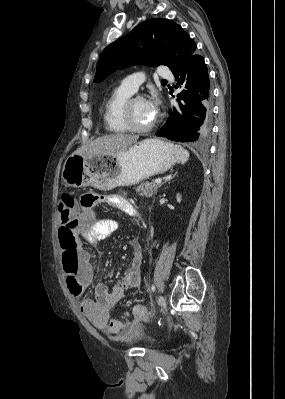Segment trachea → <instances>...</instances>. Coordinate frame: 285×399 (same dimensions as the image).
Wrapping results in <instances>:
<instances>
[{
	"label": "trachea",
	"mask_w": 285,
	"mask_h": 399,
	"mask_svg": "<svg viewBox=\"0 0 285 399\" xmlns=\"http://www.w3.org/2000/svg\"><path fill=\"white\" fill-rule=\"evenodd\" d=\"M163 82H167L166 80H162Z\"/></svg>",
	"instance_id": "3493384b"
}]
</instances>
